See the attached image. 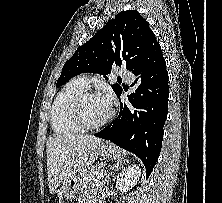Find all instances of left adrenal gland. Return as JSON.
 <instances>
[{
    "mask_svg": "<svg viewBox=\"0 0 222 203\" xmlns=\"http://www.w3.org/2000/svg\"><path fill=\"white\" fill-rule=\"evenodd\" d=\"M128 163V160L125 159H121L119 161H117L115 164H113V166H111L109 168V170L105 173V179H104V183H108L110 180V175L112 174L113 171H115L116 169L120 168L122 165Z\"/></svg>",
    "mask_w": 222,
    "mask_h": 203,
    "instance_id": "a2214340",
    "label": "left adrenal gland"
}]
</instances>
